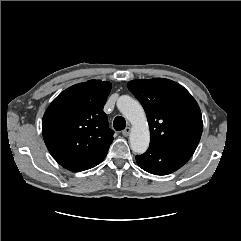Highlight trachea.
Instances as JSON below:
<instances>
[{
	"label": "trachea",
	"mask_w": 241,
	"mask_h": 241,
	"mask_svg": "<svg viewBox=\"0 0 241 241\" xmlns=\"http://www.w3.org/2000/svg\"><path fill=\"white\" fill-rule=\"evenodd\" d=\"M113 126L116 131H121L126 127V121L123 117L117 116L113 121Z\"/></svg>",
	"instance_id": "trachea-1"
}]
</instances>
